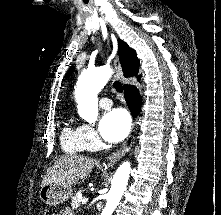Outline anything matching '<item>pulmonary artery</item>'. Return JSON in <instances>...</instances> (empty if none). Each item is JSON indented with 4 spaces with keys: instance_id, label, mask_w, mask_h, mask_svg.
I'll list each match as a JSON object with an SVG mask.
<instances>
[{
    "instance_id": "pulmonary-artery-1",
    "label": "pulmonary artery",
    "mask_w": 221,
    "mask_h": 215,
    "mask_svg": "<svg viewBox=\"0 0 221 215\" xmlns=\"http://www.w3.org/2000/svg\"><path fill=\"white\" fill-rule=\"evenodd\" d=\"M99 105L103 109H109L112 106V101H111V99H109L107 97H103L100 99Z\"/></svg>"
}]
</instances>
